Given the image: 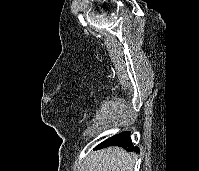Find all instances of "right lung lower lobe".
<instances>
[{"mask_svg": "<svg viewBox=\"0 0 199 171\" xmlns=\"http://www.w3.org/2000/svg\"><path fill=\"white\" fill-rule=\"evenodd\" d=\"M108 146H120L127 149V151L139 152V149L132 144L130 132L116 134L99 144L95 149H101Z\"/></svg>", "mask_w": 199, "mask_h": 171, "instance_id": "right-lung-lower-lobe-1", "label": "right lung lower lobe"}]
</instances>
